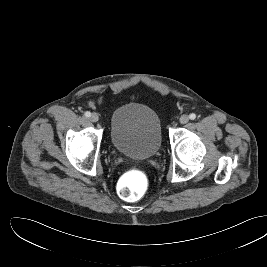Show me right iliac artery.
I'll return each instance as SVG.
<instances>
[{"label":"right iliac artery","mask_w":267,"mask_h":267,"mask_svg":"<svg viewBox=\"0 0 267 267\" xmlns=\"http://www.w3.org/2000/svg\"><path fill=\"white\" fill-rule=\"evenodd\" d=\"M84 115H85L86 117H90V116H91V113H90L89 111H86V112L84 113Z\"/></svg>","instance_id":"obj_1"}]
</instances>
